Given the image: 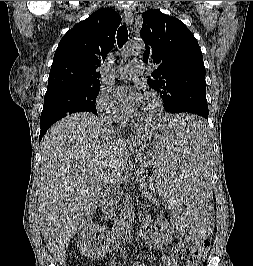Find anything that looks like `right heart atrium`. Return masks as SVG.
I'll return each instance as SVG.
<instances>
[{
    "label": "right heart atrium",
    "mask_w": 253,
    "mask_h": 266,
    "mask_svg": "<svg viewBox=\"0 0 253 266\" xmlns=\"http://www.w3.org/2000/svg\"><path fill=\"white\" fill-rule=\"evenodd\" d=\"M95 105L102 119L111 124H122L126 118L114 96L107 89H100Z\"/></svg>",
    "instance_id": "d8ad5b80"
}]
</instances>
